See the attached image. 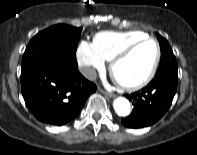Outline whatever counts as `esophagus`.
Segmentation results:
<instances>
[{
	"mask_svg": "<svg viewBox=\"0 0 197 155\" xmlns=\"http://www.w3.org/2000/svg\"><path fill=\"white\" fill-rule=\"evenodd\" d=\"M99 91H100L101 93H103L104 95L108 96V97H114V94L109 93V92H107V91H104L103 89H99Z\"/></svg>",
	"mask_w": 197,
	"mask_h": 155,
	"instance_id": "obj_1",
	"label": "esophagus"
}]
</instances>
